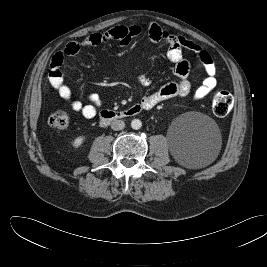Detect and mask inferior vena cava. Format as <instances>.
Here are the masks:
<instances>
[{"label": "inferior vena cava", "mask_w": 267, "mask_h": 267, "mask_svg": "<svg viewBox=\"0 0 267 267\" xmlns=\"http://www.w3.org/2000/svg\"><path fill=\"white\" fill-rule=\"evenodd\" d=\"M124 127H125V123L122 120H114L111 123V128L115 131L122 130L124 129Z\"/></svg>", "instance_id": "inferior-vena-cava-1"}]
</instances>
